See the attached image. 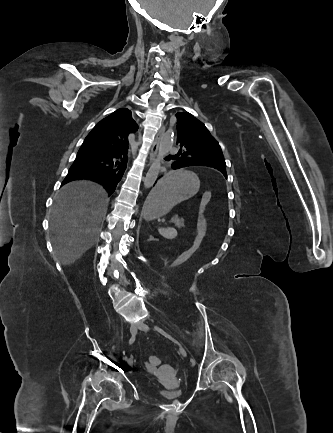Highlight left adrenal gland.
I'll return each instance as SVG.
<instances>
[{"label":"left adrenal gland","mask_w":333,"mask_h":433,"mask_svg":"<svg viewBox=\"0 0 333 433\" xmlns=\"http://www.w3.org/2000/svg\"><path fill=\"white\" fill-rule=\"evenodd\" d=\"M152 240H154L153 236L149 235V239L147 241L149 242V241H152Z\"/></svg>","instance_id":"obj_1"}]
</instances>
